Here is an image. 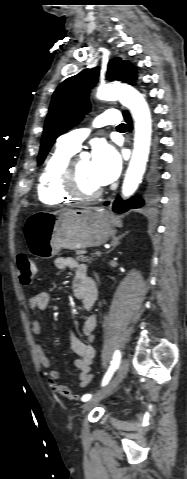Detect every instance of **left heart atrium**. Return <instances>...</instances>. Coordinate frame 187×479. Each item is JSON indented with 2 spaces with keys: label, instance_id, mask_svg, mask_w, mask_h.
<instances>
[{
  "label": "left heart atrium",
  "instance_id": "left-heart-atrium-1",
  "mask_svg": "<svg viewBox=\"0 0 187 479\" xmlns=\"http://www.w3.org/2000/svg\"><path fill=\"white\" fill-rule=\"evenodd\" d=\"M91 166L94 180L100 186H105L120 174L121 158L114 147L99 141L93 146Z\"/></svg>",
  "mask_w": 187,
  "mask_h": 479
}]
</instances>
